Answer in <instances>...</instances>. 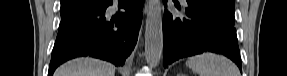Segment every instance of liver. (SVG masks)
Masks as SVG:
<instances>
[{
  "label": "liver",
  "instance_id": "6515ba94",
  "mask_svg": "<svg viewBox=\"0 0 287 76\" xmlns=\"http://www.w3.org/2000/svg\"><path fill=\"white\" fill-rule=\"evenodd\" d=\"M115 67L93 58H77L60 66L54 76H114Z\"/></svg>",
  "mask_w": 287,
  "mask_h": 76
}]
</instances>
